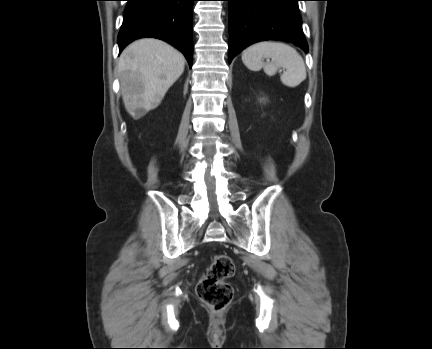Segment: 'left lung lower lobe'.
<instances>
[{
	"label": "left lung lower lobe",
	"mask_w": 432,
	"mask_h": 349,
	"mask_svg": "<svg viewBox=\"0 0 432 349\" xmlns=\"http://www.w3.org/2000/svg\"><path fill=\"white\" fill-rule=\"evenodd\" d=\"M229 1V63L249 45L264 40L292 42L308 52L301 18L300 0Z\"/></svg>",
	"instance_id": "left-lung-lower-lobe-1"
}]
</instances>
